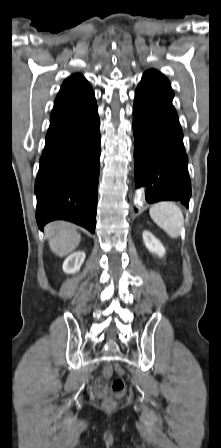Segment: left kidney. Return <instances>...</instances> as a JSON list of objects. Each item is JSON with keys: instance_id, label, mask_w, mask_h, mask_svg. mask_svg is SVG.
Masks as SVG:
<instances>
[{"instance_id": "5707ae66", "label": "left kidney", "mask_w": 221, "mask_h": 448, "mask_svg": "<svg viewBox=\"0 0 221 448\" xmlns=\"http://www.w3.org/2000/svg\"><path fill=\"white\" fill-rule=\"evenodd\" d=\"M143 241L145 246L151 253L157 254L159 257H163L165 255L166 250L164 246L149 231L143 232Z\"/></svg>"}]
</instances>
